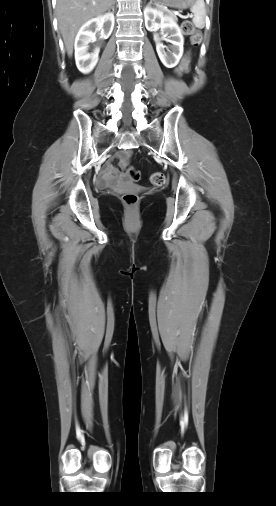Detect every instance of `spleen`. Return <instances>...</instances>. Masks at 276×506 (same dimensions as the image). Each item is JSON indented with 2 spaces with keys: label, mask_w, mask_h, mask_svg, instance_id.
Returning <instances> with one entry per match:
<instances>
[{
  "label": "spleen",
  "mask_w": 276,
  "mask_h": 506,
  "mask_svg": "<svg viewBox=\"0 0 276 506\" xmlns=\"http://www.w3.org/2000/svg\"><path fill=\"white\" fill-rule=\"evenodd\" d=\"M191 12L194 17L192 19L195 27L202 29L205 26V3L204 0H196L194 5L191 7Z\"/></svg>",
  "instance_id": "3e777b00"
}]
</instances>
